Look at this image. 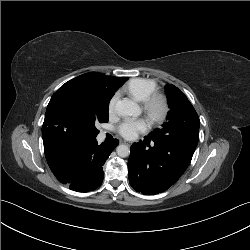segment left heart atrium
<instances>
[{
	"label": "left heart atrium",
	"mask_w": 250,
	"mask_h": 250,
	"mask_svg": "<svg viewBox=\"0 0 250 250\" xmlns=\"http://www.w3.org/2000/svg\"><path fill=\"white\" fill-rule=\"evenodd\" d=\"M148 126L144 119L127 118L119 125L118 131L123 137L134 139L139 133L146 131Z\"/></svg>",
	"instance_id": "1"
}]
</instances>
